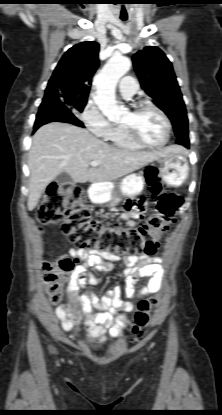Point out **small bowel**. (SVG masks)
Wrapping results in <instances>:
<instances>
[{
  "instance_id": "1",
  "label": "small bowel",
  "mask_w": 222,
  "mask_h": 415,
  "mask_svg": "<svg viewBox=\"0 0 222 415\" xmlns=\"http://www.w3.org/2000/svg\"><path fill=\"white\" fill-rule=\"evenodd\" d=\"M127 211L131 215L134 214L132 205H128ZM69 252L77 262H80L72 273L70 291L74 292L86 285H98L100 278L97 273L110 271L115 264L124 268L127 287L123 292L116 287L103 296L88 293L87 297L79 298L78 302L84 317L70 319L66 317L64 307L57 308L56 315L61 319V325L65 331H73L75 326L80 324L84 328L87 338L91 341L104 343L108 337H119L127 325V318L125 315H116V313L119 309L130 311L133 308V305L124 301L122 296L126 299L133 296L132 285L138 277L150 278L149 283L138 290V296L155 294L161 289L163 259L160 256H119L74 248H71ZM93 310L98 312L93 314Z\"/></svg>"
}]
</instances>
